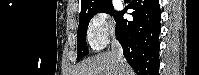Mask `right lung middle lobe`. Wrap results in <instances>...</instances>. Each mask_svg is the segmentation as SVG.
<instances>
[{"label": "right lung middle lobe", "instance_id": "1", "mask_svg": "<svg viewBox=\"0 0 199 75\" xmlns=\"http://www.w3.org/2000/svg\"><path fill=\"white\" fill-rule=\"evenodd\" d=\"M100 12L108 13L111 16L113 15L115 20L117 19L120 13L114 10V7L111 2H108L84 15L79 16V26H78V32H77V60H80L81 58H83L84 56L88 54V49H87V44H86L87 27H88L90 19L96 13H100Z\"/></svg>", "mask_w": 199, "mask_h": 75}]
</instances>
